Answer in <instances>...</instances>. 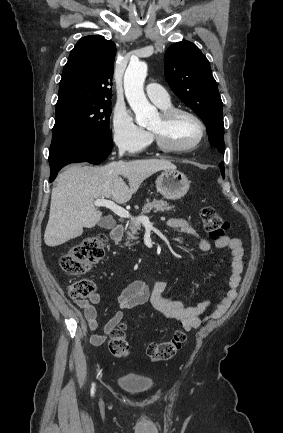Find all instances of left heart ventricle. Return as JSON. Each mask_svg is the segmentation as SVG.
I'll list each match as a JSON object with an SVG mask.
<instances>
[{
  "label": "left heart ventricle",
  "instance_id": "1",
  "mask_svg": "<svg viewBox=\"0 0 283 433\" xmlns=\"http://www.w3.org/2000/svg\"><path fill=\"white\" fill-rule=\"evenodd\" d=\"M151 130L160 129V116L149 127ZM199 135V126L196 121L186 114H181L173 121L169 139L176 147H185L191 144Z\"/></svg>",
  "mask_w": 283,
  "mask_h": 433
}]
</instances>
